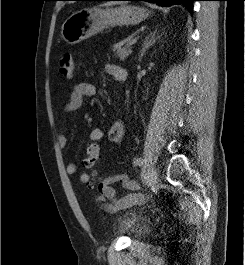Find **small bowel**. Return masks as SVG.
Returning <instances> with one entry per match:
<instances>
[{"label": "small bowel", "mask_w": 245, "mask_h": 265, "mask_svg": "<svg viewBox=\"0 0 245 265\" xmlns=\"http://www.w3.org/2000/svg\"><path fill=\"white\" fill-rule=\"evenodd\" d=\"M105 71L117 82H122L126 79L125 69L118 65L108 63L105 65ZM95 93V86L89 82H79L75 84L71 89L68 101L62 108L61 118L65 119L68 114L80 109L84 101L94 96ZM103 135L102 129L93 128L89 134L90 143L98 144L103 138ZM123 135L124 124L121 121H116L110 128L108 137L113 143H119ZM58 143L61 148H65L68 144L67 137L63 131L58 135ZM66 173L70 176L75 175L77 173L76 164L68 163L66 166ZM79 180L81 183L90 187V183L93 179L89 173H81ZM114 183H119L124 189L129 191V194L119 198L116 190L112 187ZM98 191L100 196L97 202L107 212H117L135 204H143L146 201L145 196L140 193V185L138 182L123 173L111 174L101 179L98 183Z\"/></svg>", "instance_id": "small-bowel-1"}]
</instances>
